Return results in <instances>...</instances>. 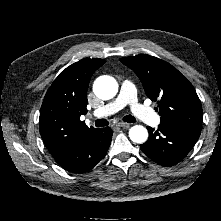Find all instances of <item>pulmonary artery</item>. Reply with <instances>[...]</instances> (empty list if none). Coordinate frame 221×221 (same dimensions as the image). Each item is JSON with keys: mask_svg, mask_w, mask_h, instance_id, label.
Here are the masks:
<instances>
[{"mask_svg": "<svg viewBox=\"0 0 221 221\" xmlns=\"http://www.w3.org/2000/svg\"><path fill=\"white\" fill-rule=\"evenodd\" d=\"M129 105L132 114L140 121L157 126L160 123V117L151 108L138 102L136 88L131 81L125 80L120 88L117 98L103 107L95 110L93 116L97 118L112 115L123 107Z\"/></svg>", "mask_w": 221, "mask_h": 221, "instance_id": "obj_1", "label": "pulmonary artery"}]
</instances>
